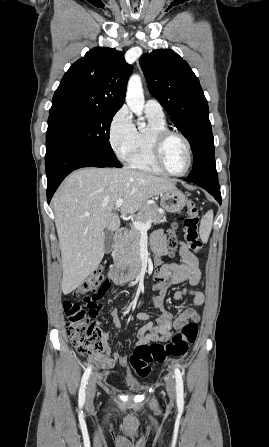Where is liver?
Masks as SVG:
<instances>
[{
    "mask_svg": "<svg viewBox=\"0 0 269 447\" xmlns=\"http://www.w3.org/2000/svg\"><path fill=\"white\" fill-rule=\"evenodd\" d=\"M166 190H175L165 178L128 168H82L60 186L53 200L55 224L61 249V289L70 293L97 269L104 255V227L116 231L123 216L135 214L145 202Z\"/></svg>",
    "mask_w": 269,
    "mask_h": 447,
    "instance_id": "obj_1",
    "label": "liver"
}]
</instances>
